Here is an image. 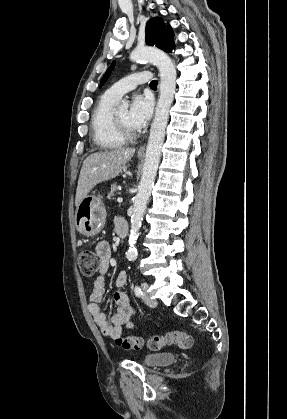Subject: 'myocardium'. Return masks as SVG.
<instances>
[{
    "label": "myocardium",
    "instance_id": "myocardium-1",
    "mask_svg": "<svg viewBox=\"0 0 287 419\" xmlns=\"http://www.w3.org/2000/svg\"><path fill=\"white\" fill-rule=\"evenodd\" d=\"M112 123L115 132L124 142L131 141L136 137V134L133 131L128 130L121 124L116 115V112L112 113Z\"/></svg>",
    "mask_w": 287,
    "mask_h": 419
}]
</instances>
